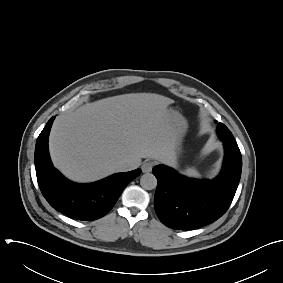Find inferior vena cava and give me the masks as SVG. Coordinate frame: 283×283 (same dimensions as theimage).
Listing matches in <instances>:
<instances>
[{
  "label": "inferior vena cava",
  "mask_w": 283,
  "mask_h": 283,
  "mask_svg": "<svg viewBox=\"0 0 283 283\" xmlns=\"http://www.w3.org/2000/svg\"><path fill=\"white\" fill-rule=\"evenodd\" d=\"M117 167L119 171H130L136 167V165L128 160H121L117 163Z\"/></svg>",
  "instance_id": "inferior-vena-cava-1"
}]
</instances>
